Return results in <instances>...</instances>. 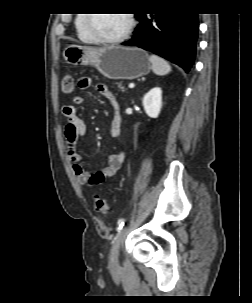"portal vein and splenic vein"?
<instances>
[{
  "label": "portal vein and splenic vein",
  "mask_w": 252,
  "mask_h": 303,
  "mask_svg": "<svg viewBox=\"0 0 252 303\" xmlns=\"http://www.w3.org/2000/svg\"><path fill=\"white\" fill-rule=\"evenodd\" d=\"M134 84L133 83H131V84H129V88H134Z\"/></svg>",
  "instance_id": "obj_1"
}]
</instances>
